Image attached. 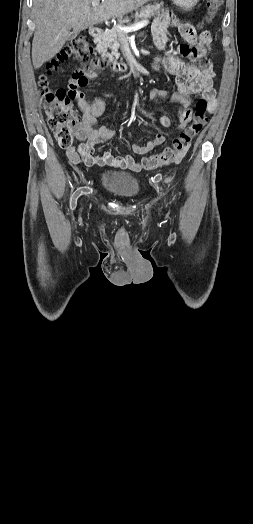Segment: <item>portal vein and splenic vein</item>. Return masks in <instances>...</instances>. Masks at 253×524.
I'll return each mask as SVG.
<instances>
[{
  "mask_svg": "<svg viewBox=\"0 0 253 524\" xmlns=\"http://www.w3.org/2000/svg\"><path fill=\"white\" fill-rule=\"evenodd\" d=\"M91 5H92V7H97V6H99V2H95V1H94V2H92ZM148 23H149L148 20H142V21H140V22L134 24V25L131 26V27H125V26H117V27H118V29H120L121 31H124V32L127 33V32H131V31H135V30L141 29V28L147 26Z\"/></svg>",
  "mask_w": 253,
  "mask_h": 524,
  "instance_id": "portal-vein-and-splenic-vein-1",
  "label": "portal vein and splenic vein"
}]
</instances>
